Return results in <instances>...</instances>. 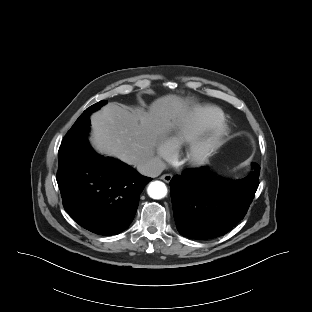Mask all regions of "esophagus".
Wrapping results in <instances>:
<instances>
[{"label":"esophagus","instance_id":"obj_1","mask_svg":"<svg viewBox=\"0 0 312 312\" xmlns=\"http://www.w3.org/2000/svg\"><path fill=\"white\" fill-rule=\"evenodd\" d=\"M163 181H165L166 183H169L172 179V175L171 174H164L160 177Z\"/></svg>","mask_w":312,"mask_h":312}]
</instances>
